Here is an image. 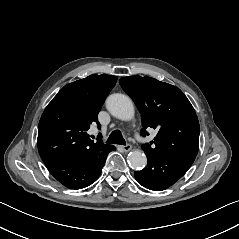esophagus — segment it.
I'll list each match as a JSON object with an SVG mask.
<instances>
[{"mask_svg":"<svg viewBox=\"0 0 239 239\" xmlns=\"http://www.w3.org/2000/svg\"><path fill=\"white\" fill-rule=\"evenodd\" d=\"M125 152H129L132 149V146L130 144H127L122 147Z\"/></svg>","mask_w":239,"mask_h":239,"instance_id":"34e87169","label":"esophagus"}]
</instances>
